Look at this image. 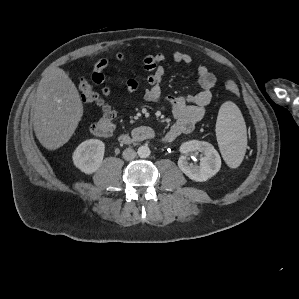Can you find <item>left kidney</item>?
Masks as SVG:
<instances>
[{"label":"left kidney","mask_w":299,"mask_h":299,"mask_svg":"<svg viewBox=\"0 0 299 299\" xmlns=\"http://www.w3.org/2000/svg\"><path fill=\"white\" fill-rule=\"evenodd\" d=\"M195 151H199L204 154V156L200 159V164L198 166L189 164L187 161V154ZM180 152L183 155H181L178 160V166L186 176L194 181H207L220 170V155L208 142L198 140L187 141L180 146Z\"/></svg>","instance_id":"5707ae66"}]
</instances>
